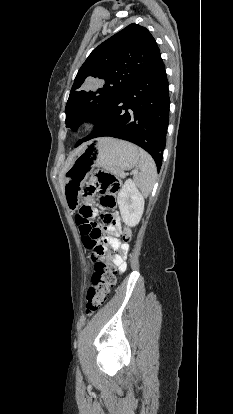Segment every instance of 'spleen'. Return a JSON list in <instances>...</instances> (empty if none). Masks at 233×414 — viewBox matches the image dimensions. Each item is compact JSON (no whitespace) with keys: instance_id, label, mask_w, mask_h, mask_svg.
<instances>
[{"instance_id":"1","label":"spleen","mask_w":233,"mask_h":414,"mask_svg":"<svg viewBox=\"0 0 233 414\" xmlns=\"http://www.w3.org/2000/svg\"><path fill=\"white\" fill-rule=\"evenodd\" d=\"M139 172L134 174V181L144 195H149L155 184L157 168L153 158L143 149L139 150Z\"/></svg>"}]
</instances>
